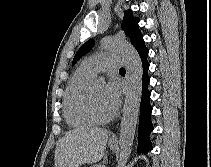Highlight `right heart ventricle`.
Listing matches in <instances>:
<instances>
[{"instance_id": "obj_1", "label": "right heart ventricle", "mask_w": 211, "mask_h": 167, "mask_svg": "<svg viewBox=\"0 0 211 167\" xmlns=\"http://www.w3.org/2000/svg\"><path fill=\"white\" fill-rule=\"evenodd\" d=\"M94 75L80 66L72 75L64 96V116L74 128H87L95 125L84 107V95Z\"/></svg>"}]
</instances>
